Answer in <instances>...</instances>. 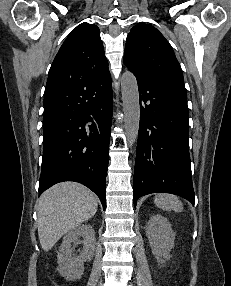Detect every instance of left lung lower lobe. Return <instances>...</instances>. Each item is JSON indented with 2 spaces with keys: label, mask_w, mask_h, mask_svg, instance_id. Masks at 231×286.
Returning a JSON list of instances; mask_svg holds the SVG:
<instances>
[{
  "label": "left lung lower lobe",
  "mask_w": 231,
  "mask_h": 286,
  "mask_svg": "<svg viewBox=\"0 0 231 286\" xmlns=\"http://www.w3.org/2000/svg\"><path fill=\"white\" fill-rule=\"evenodd\" d=\"M136 78L141 115L134 206L139 197L156 192L176 194L194 204L186 90Z\"/></svg>",
  "instance_id": "1"
}]
</instances>
